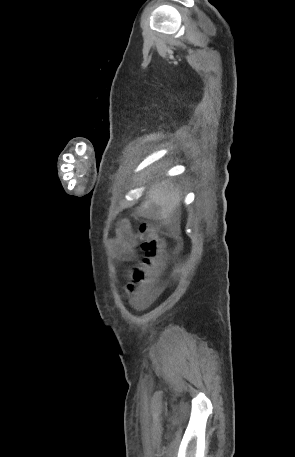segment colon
Listing matches in <instances>:
<instances>
[{
    "label": "colon",
    "instance_id": "1",
    "mask_svg": "<svg viewBox=\"0 0 295 457\" xmlns=\"http://www.w3.org/2000/svg\"><path fill=\"white\" fill-rule=\"evenodd\" d=\"M138 237L143 256L139 264L131 270V283L127 294L134 301L143 299L147 289L153 284L154 278L163 265V257L170 236H162L150 223L143 222L139 226Z\"/></svg>",
    "mask_w": 295,
    "mask_h": 457
}]
</instances>
